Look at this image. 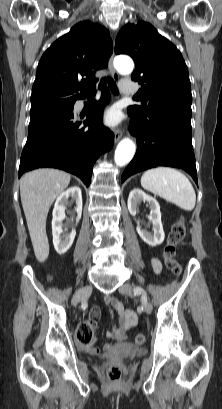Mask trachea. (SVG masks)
Masks as SVG:
<instances>
[{
  "label": "trachea",
  "mask_w": 222,
  "mask_h": 409,
  "mask_svg": "<svg viewBox=\"0 0 222 409\" xmlns=\"http://www.w3.org/2000/svg\"><path fill=\"white\" fill-rule=\"evenodd\" d=\"M108 86H109V88H110V90H111V92H112L113 94H115V95L119 94L117 85H116V83L113 81V79H111V78L108 79ZM95 94H96V90H94V91L91 92V95H95ZM134 98H135V97H134Z\"/></svg>",
  "instance_id": "trachea-1"
}]
</instances>
